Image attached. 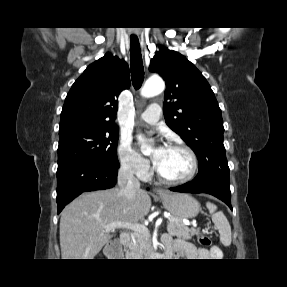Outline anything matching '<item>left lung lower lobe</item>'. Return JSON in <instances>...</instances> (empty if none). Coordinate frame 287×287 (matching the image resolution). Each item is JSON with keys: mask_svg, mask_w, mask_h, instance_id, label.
I'll return each instance as SVG.
<instances>
[{"mask_svg": "<svg viewBox=\"0 0 287 287\" xmlns=\"http://www.w3.org/2000/svg\"><path fill=\"white\" fill-rule=\"evenodd\" d=\"M174 192L183 193H207L217 197L226 203L232 210L231 206V192L229 182L220 179L192 181L178 187L170 188Z\"/></svg>", "mask_w": 287, "mask_h": 287, "instance_id": "0a47b994", "label": "left lung lower lobe"}]
</instances>
